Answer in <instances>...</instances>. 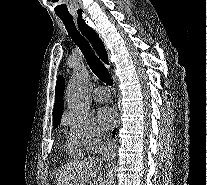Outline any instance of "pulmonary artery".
<instances>
[{
    "label": "pulmonary artery",
    "mask_w": 207,
    "mask_h": 185,
    "mask_svg": "<svg viewBox=\"0 0 207 185\" xmlns=\"http://www.w3.org/2000/svg\"><path fill=\"white\" fill-rule=\"evenodd\" d=\"M101 88L102 87L95 89L93 97L98 102H107L111 97V93L109 90H102Z\"/></svg>",
    "instance_id": "pulmonary-artery-1"
}]
</instances>
